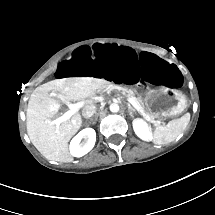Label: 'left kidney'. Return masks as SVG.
Masks as SVG:
<instances>
[{
	"mask_svg": "<svg viewBox=\"0 0 215 215\" xmlns=\"http://www.w3.org/2000/svg\"><path fill=\"white\" fill-rule=\"evenodd\" d=\"M133 129L135 134L142 140H151L153 137L148 123L143 119H135L133 121Z\"/></svg>",
	"mask_w": 215,
	"mask_h": 215,
	"instance_id": "5707ae66",
	"label": "left kidney"
}]
</instances>
